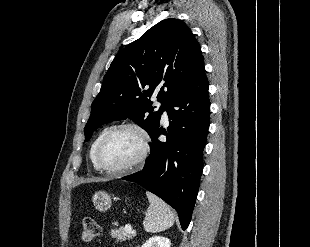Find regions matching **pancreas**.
<instances>
[{"label": "pancreas", "mask_w": 310, "mask_h": 247, "mask_svg": "<svg viewBox=\"0 0 310 247\" xmlns=\"http://www.w3.org/2000/svg\"><path fill=\"white\" fill-rule=\"evenodd\" d=\"M110 233L111 236L115 238L118 242H123L127 239L130 240L132 237L135 236V233L125 231L124 228L112 229Z\"/></svg>", "instance_id": "obj_1"}]
</instances>
